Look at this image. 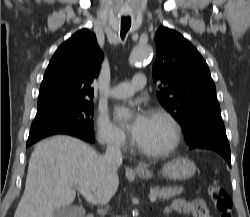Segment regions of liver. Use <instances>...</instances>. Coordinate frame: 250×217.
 <instances>
[{"label":"liver","mask_w":250,"mask_h":217,"mask_svg":"<svg viewBox=\"0 0 250 217\" xmlns=\"http://www.w3.org/2000/svg\"><path fill=\"white\" fill-rule=\"evenodd\" d=\"M118 186L117 171L91 146L77 138L55 136L33 150L14 217H55L73 203L77 187L93 192L97 202L106 204Z\"/></svg>","instance_id":"1"}]
</instances>
